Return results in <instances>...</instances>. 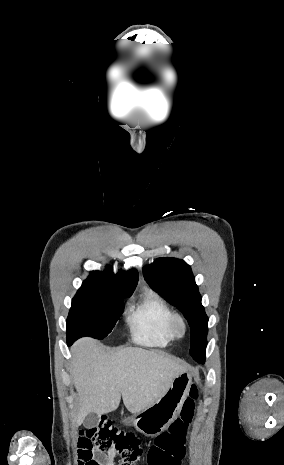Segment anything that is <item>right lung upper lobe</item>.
Here are the masks:
<instances>
[{
    "label": "right lung upper lobe",
    "instance_id": "obj_1",
    "mask_svg": "<svg viewBox=\"0 0 284 465\" xmlns=\"http://www.w3.org/2000/svg\"><path fill=\"white\" fill-rule=\"evenodd\" d=\"M138 282L136 270L128 272L119 271L112 273V268L107 266L105 272L92 271L82 285L102 288L118 295H130L133 293Z\"/></svg>",
    "mask_w": 284,
    "mask_h": 465
}]
</instances>
